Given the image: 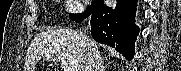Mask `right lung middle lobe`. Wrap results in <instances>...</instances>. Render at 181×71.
<instances>
[{"label": "right lung middle lobe", "mask_w": 181, "mask_h": 71, "mask_svg": "<svg viewBox=\"0 0 181 71\" xmlns=\"http://www.w3.org/2000/svg\"><path fill=\"white\" fill-rule=\"evenodd\" d=\"M95 3H96V0L93 2V4H92V6L91 7H93L94 5H95ZM90 9V8H89ZM88 9V10H89ZM87 10V11H88ZM87 11H85L84 13H82V14H70V18L72 19V18H80V17H82L83 15H85V13L87 12Z\"/></svg>", "instance_id": "right-lung-middle-lobe-1"}]
</instances>
